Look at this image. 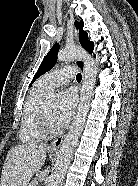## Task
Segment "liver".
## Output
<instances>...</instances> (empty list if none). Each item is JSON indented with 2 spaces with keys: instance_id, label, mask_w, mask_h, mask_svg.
I'll list each match as a JSON object with an SVG mask.
<instances>
[{
  "instance_id": "liver-1",
  "label": "liver",
  "mask_w": 138,
  "mask_h": 186,
  "mask_svg": "<svg viewBox=\"0 0 138 186\" xmlns=\"http://www.w3.org/2000/svg\"><path fill=\"white\" fill-rule=\"evenodd\" d=\"M46 144H25L11 148L5 159L0 186H27L46 159Z\"/></svg>"
}]
</instances>
